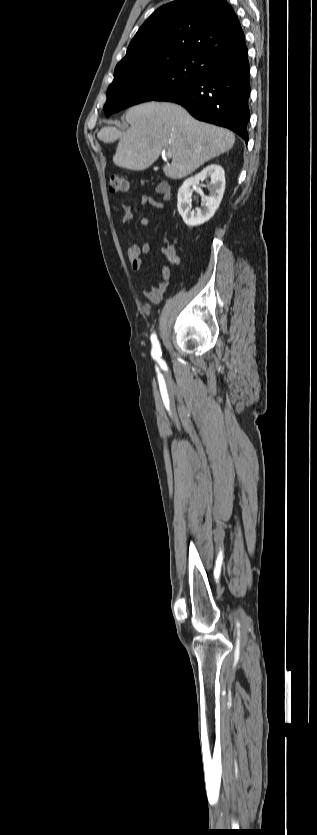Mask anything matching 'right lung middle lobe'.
Segmentation results:
<instances>
[{
  "mask_svg": "<svg viewBox=\"0 0 317 835\" xmlns=\"http://www.w3.org/2000/svg\"><path fill=\"white\" fill-rule=\"evenodd\" d=\"M200 66V60L192 58L115 75L107 90L105 115L108 117L129 106L156 100L163 94L197 79Z\"/></svg>",
  "mask_w": 317,
  "mask_h": 835,
  "instance_id": "dd1d6c3e",
  "label": "right lung middle lobe"
}]
</instances>
